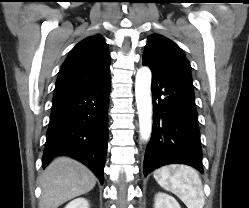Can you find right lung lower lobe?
I'll list each match as a JSON object with an SVG mask.
<instances>
[{
	"mask_svg": "<svg viewBox=\"0 0 249 208\" xmlns=\"http://www.w3.org/2000/svg\"><path fill=\"white\" fill-rule=\"evenodd\" d=\"M109 90L110 76L94 85L54 95L43 167L57 155H68L88 166L103 183Z\"/></svg>",
	"mask_w": 249,
	"mask_h": 208,
	"instance_id": "98d812e1",
	"label": "right lung lower lobe"
}]
</instances>
